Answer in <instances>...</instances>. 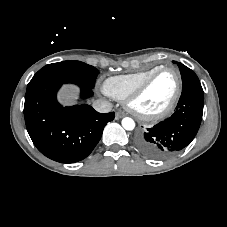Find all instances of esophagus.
Masks as SVG:
<instances>
[{
	"label": "esophagus",
	"mask_w": 227,
	"mask_h": 227,
	"mask_svg": "<svg viewBox=\"0 0 227 227\" xmlns=\"http://www.w3.org/2000/svg\"><path fill=\"white\" fill-rule=\"evenodd\" d=\"M125 116V113L122 111H117L116 112V119L123 118Z\"/></svg>",
	"instance_id": "34e87169"
}]
</instances>
